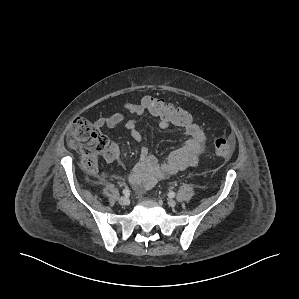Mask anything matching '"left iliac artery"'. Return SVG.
<instances>
[{"label":"left iliac artery","mask_w":299,"mask_h":299,"mask_svg":"<svg viewBox=\"0 0 299 299\" xmlns=\"http://www.w3.org/2000/svg\"><path fill=\"white\" fill-rule=\"evenodd\" d=\"M175 196V193L172 191V192H169V197L173 198Z\"/></svg>","instance_id":"obj_1"}]
</instances>
